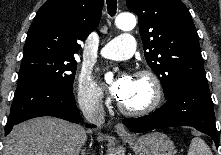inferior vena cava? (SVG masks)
Instances as JSON below:
<instances>
[{
	"instance_id": "inferior-vena-cava-1",
	"label": "inferior vena cava",
	"mask_w": 221,
	"mask_h": 155,
	"mask_svg": "<svg viewBox=\"0 0 221 155\" xmlns=\"http://www.w3.org/2000/svg\"><path fill=\"white\" fill-rule=\"evenodd\" d=\"M79 106L85 119L97 126L105 121V111L98 93H91L79 98Z\"/></svg>"
}]
</instances>
